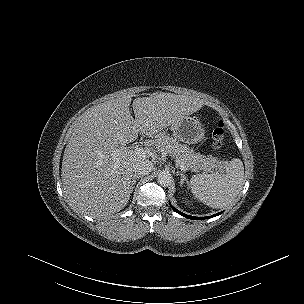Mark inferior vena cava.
I'll return each instance as SVG.
<instances>
[{"label":"inferior vena cava","mask_w":304,"mask_h":304,"mask_svg":"<svg viewBox=\"0 0 304 304\" xmlns=\"http://www.w3.org/2000/svg\"><path fill=\"white\" fill-rule=\"evenodd\" d=\"M153 163L149 160H138L133 165V171L136 176H145L148 175L153 170Z\"/></svg>","instance_id":"inferior-vena-cava-1"}]
</instances>
